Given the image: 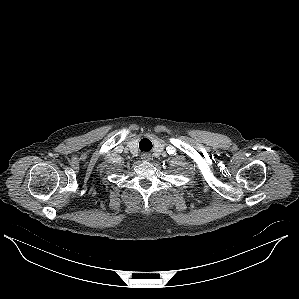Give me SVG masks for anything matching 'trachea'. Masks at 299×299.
<instances>
[{
    "label": "trachea",
    "instance_id": "3493384b",
    "mask_svg": "<svg viewBox=\"0 0 299 299\" xmlns=\"http://www.w3.org/2000/svg\"><path fill=\"white\" fill-rule=\"evenodd\" d=\"M139 148L141 151H150L152 149V142L147 138H143L139 143Z\"/></svg>",
    "mask_w": 299,
    "mask_h": 299
}]
</instances>
